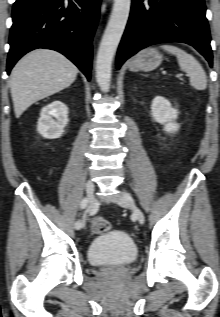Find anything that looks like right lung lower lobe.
Here are the masks:
<instances>
[{
	"label": "right lung lower lobe",
	"mask_w": 220,
	"mask_h": 317,
	"mask_svg": "<svg viewBox=\"0 0 220 317\" xmlns=\"http://www.w3.org/2000/svg\"><path fill=\"white\" fill-rule=\"evenodd\" d=\"M16 0L10 30L7 73L27 52L56 50L70 59L90 80L92 37L100 0Z\"/></svg>",
	"instance_id": "obj_1"
}]
</instances>
